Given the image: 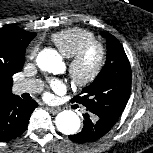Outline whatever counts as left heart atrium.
Wrapping results in <instances>:
<instances>
[{
  "instance_id": "left-heart-atrium-1",
  "label": "left heart atrium",
  "mask_w": 153,
  "mask_h": 153,
  "mask_svg": "<svg viewBox=\"0 0 153 153\" xmlns=\"http://www.w3.org/2000/svg\"><path fill=\"white\" fill-rule=\"evenodd\" d=\"M50 87L56 92H62L65 89L63 82L57 79H53L50 81ZM46 97L50 98V94L47 93Z\"/></svg>"
}]
</instances>
